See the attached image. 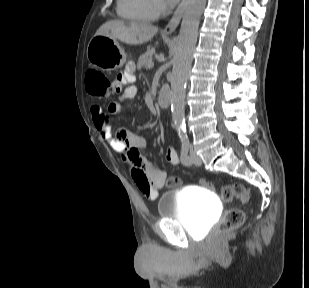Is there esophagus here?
<instances>
[{"label": "esophagus", "mask_w": 309, "mask_h": 288, "mask_svg": "<svg viewBox=\"0 0 309 288\" xmlns=\"http://www.w3.org/2000/svg\"><path fill=\"white\" fill-rule=\"evenodd\" d=\"M186 4H187V0L181 1L177 9L175 10L171 20L169 21V23L166 25V27L163 30L165 34L170 35L176 30V28L178 27L181 21Z\"/></svg>", "instance_id": "1"}]
</instances>
